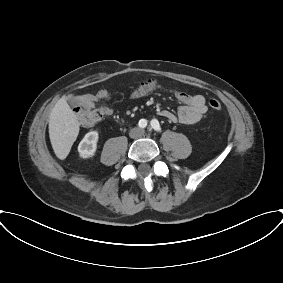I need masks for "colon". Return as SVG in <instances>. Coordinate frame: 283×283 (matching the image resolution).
I'll list each match as a JSON object with an SVG mask.
<instances>
[{"instance_id":"colon-1","label":"colon","mask_w":283,"mask_h":283,"mask_svg":"<svg viewBox=\"0 0 283 283\" xmlns=\"http://www.w3.org/2000/svg\"><path fill=\"white\" fill-rule=\"evenodd\" d=\"M211 110L219 111L222 105L218 99L211 98L208 101ZM77 118L81 125L92 126L100 119V113L90 107L83 106L77 110Z\"/></svg>"}]
</instances>
